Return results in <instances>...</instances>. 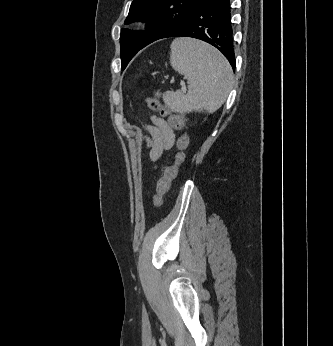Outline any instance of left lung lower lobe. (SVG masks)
Segmentation results:
<instances>
[{"mask_svg":"<svg viewBox=\"0 0 333 346\" xmlns=\"http://www.w3.org/2000/svg\"><path fill=\"white\" fill-rule=\"evenodd\" d=\"M192 37L219 49L235 70L230 0H203L161 38Z\"/></svg>","mask_w":333,"mask_h":346,"instance_id":"left-lung-lower-lobe-1","label":"left lung lower lobe"}]
</instances>
